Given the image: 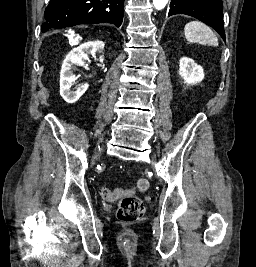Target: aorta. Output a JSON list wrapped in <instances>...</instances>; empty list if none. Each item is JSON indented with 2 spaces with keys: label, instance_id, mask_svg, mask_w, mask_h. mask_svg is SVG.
I'll return each mask as SVG.
<instances>
[{
  "label": "aorta",
  "instance_id": "aorta-1",
  "mask_svg": "<svg viewBox=\"0 0 256 267\" xmlns=\"http://www.w3.org/2000/svg\"><path fill=\"white\" fill-rule=\"evenodd\" d=\"M154 8L156 10H164L165 6H167L169 0H152Z\"/></svg>",
  "mask_w": 256,
  "mask_h": 267
}]
</instances>
